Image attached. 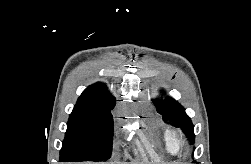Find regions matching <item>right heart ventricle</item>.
I'll return each mask as SVG.
<instances>
[{
	"mask_svg": "<svg viewBox=\"0 0 251 164\" xmlns=\"http://www.w3.org/2000/svg\"><path fill=\"white\" fill-rule=\"evenodd\" d=\"M157 134L168 153H176V133L171 126L163 121L157 123Z\"/></svg>",
	"mask_w": 251,
	"mask_h": 164,
	"instance_id": "obj_1",
	"label": "right heart ventricle"
}]
</instances>
